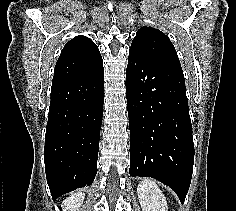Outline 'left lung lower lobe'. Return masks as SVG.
Here are the masks:
<instances>
[{"label":"left lung lower lobe","instance_id":"obj_1","mask_svg":"<svg viewBox=\"0 0 236 211\" xmlns=\"http://www.w3.org/2000/svg\"><path fill=\"white\" fill-rule=\"evenodd\" d=\"M126 98L130 176H148L161 181L172 188L183 203L194 163L183 71L129 53Z\"/></svg>","mask_w":236,"mask_h":211}]
</instances>
